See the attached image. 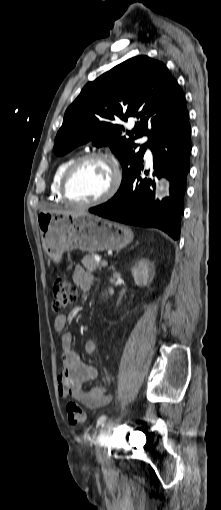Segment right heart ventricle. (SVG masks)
I'll list each match as a JSON object with an SVG mask.
<instances>
[{
    "label": "right heart ventricle",
    "mask_w": 221,
    "mask_h": 510,
    "mask_svg": "<svg viewBox=\"0 0 221 510\" xmlns=\"http://www.w3.org/2000/svg\"><path fill=\"white\" fill-rule=\"evenodd\" d=\"M74 160L73 157H68L64 160H62L55 168L51 184H50V197L53 201L57 203H64L65 200L63 199L61 193H60V183L63 176V173L67 169V167L71 164V162Z\"/></svg>",
    "instance_id": "1"
}]
</instances>
